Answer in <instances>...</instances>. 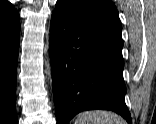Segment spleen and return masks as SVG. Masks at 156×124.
Here are the masks:
<instances>
[{"mask_svg": "<svg viewBox=\"0 0 156 124\" xmlns=\"http://www.w3.org/2000/svg\"><path fill=\"white\" fill-rule=\"evenodd\" d=\"M74 124H126V122L115 113L96 110L80 113Z\"/></svg>", "mask_w": 156, "mask_h": 124, "instance_id": "spleen-1", "label": "spleen"}]
</instances>
